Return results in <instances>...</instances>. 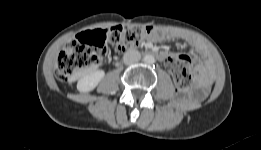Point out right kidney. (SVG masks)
I'll return each instance as SVG.
<instances>
[{
	"label": "right kidney",
	"instance_id": "right-kidney-1",
	"mask_svg": "<svg viewBox=\"0 0 261 150\" xmlns=\"http://www.w3.org/2000/svg\"><path fill=\"white\" fill-rule=\"evenodd\" d=\"M104 76L105 72L103 70L87 73L78 81L77 89L80 92H90L96 88Z\"/></svg>",
	"mask_w": 261,
	"mask_h": 150
}]
</instances>
